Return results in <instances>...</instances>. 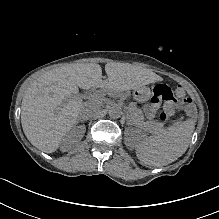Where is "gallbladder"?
<instances>
[{
	"label": "gallbladder",
	"instance_id": "bac80fb5",
	"mask_svg": "<svg viewBox=\"0 0 219 219\" xmlns=\"http://www.w3.org/2000/svg\"><path fill=\"white\" fill-rule=\"evenodd\" d=\"M50 96L53 95V93H49ZM66 103V101H63L62 106Z\"/></svg>",
	"mask_w": 219,
	"mask_h": 219
}]
</instances>
